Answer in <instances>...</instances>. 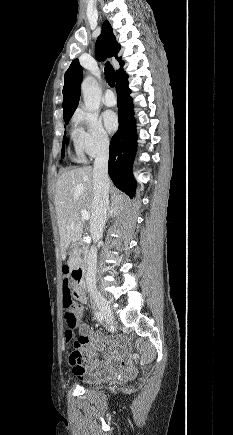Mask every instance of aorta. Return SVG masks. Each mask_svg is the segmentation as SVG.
Masks as SVG:
<instances>
[{
  "mask_svg": "<svg viewBox=\"0 0 233 435\" xmlns=\"http://www.w3.org/2000/svg\"><path fill=\"white\" fill-rule=\"evenodd\" d=\"M81 91L85 109L87 111L98 110L101 101V90L95 78L87 76L81 84Z\"/></svg>",
  "mask_w": 233,
  "mask_h": 435,
  "instance_id": "1",
  "label": "aorta"
}]
</instances>
